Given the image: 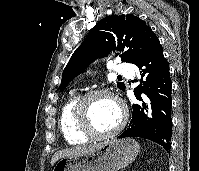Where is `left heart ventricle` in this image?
Here are the masks:
<instances>
[{
    "label": "left heart ventricle",
    "instance_id": "b2bd125f",
    "mask_svg": "<svg viewBox=\"0 0 199 171\" xmlns=\"http://www.w3.org/2000/svg\"><path fill=\"white\" fill-rule=\"evenodd\" d=\"M90 119L96 131H110L120 120L119 106L108 97H97L90 103Z\"/></svg>",
    "mask_w": 199,
    "mask_h": 171
}]
</instances>
